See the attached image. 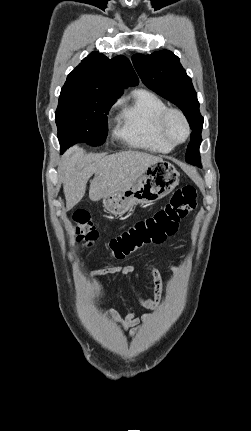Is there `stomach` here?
Segmentation results:
<instances>
[{"mask_svg":"<svg viewBox=\"0 0 251 431\" xmlns=\"http://www.w3.org/2000/svg\"><path fill=\"white\" fill-rule=\"evenodd\" d=\"M179 172L168 161L150 164L130 184L103 197L104 208L122 216L136 204H151L168 195L179 183Z\"/></svg>","mask_w":251,"mask_h":431,"instance_id":"stomach-1","label":"stomach"}]
</instances>
